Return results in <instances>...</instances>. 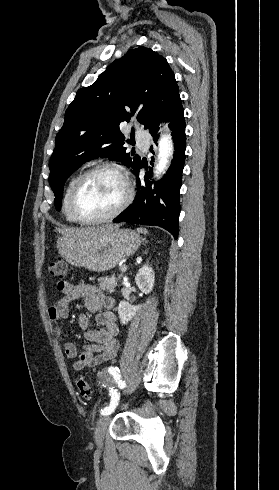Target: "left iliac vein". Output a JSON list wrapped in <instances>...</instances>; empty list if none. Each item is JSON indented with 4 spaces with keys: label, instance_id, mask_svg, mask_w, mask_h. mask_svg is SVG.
Segmentation results:
<instances>
[{
    "label": "left iliac vein",
    "instance_id": "4c4485c4",
    "mask_svg": "<svg viewBox=\"0 0 279 490\" xmlns=\"http://www.w3.org/2000/svg\"><path fill=\"white\" fill-rule=\"evenodd\" d=\"M110 420L111 417L109 415H104L97 422L94 439L98 450H100L104 446L105 434L109 426Z\"/></svg>",
    "mask_w": 279,
    "mask_h": 490
}]
</instances>
